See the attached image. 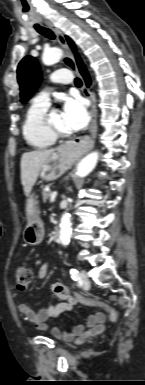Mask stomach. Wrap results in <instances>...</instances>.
Listing matches in <instances>:
<instances>
[{
  "label": "stomach",
  "mask_w": 145,
  "mask_h": 385,
  "mask_svg": "<svg viewBox=\"0 0 145 385\" xmlns=\"http://www.w3.org/2000/svg\"><path fill=\"white\" fill-rule=\"evenodd\" d=\"M75 153L62 145L42 165L39 176L44 181H52L62 176L75 162ZM28 222L24 230V241L29 245H38L44 237L43 222L39 217L37 201L34 195L28 196L26 203Z\"/></svg>",
  "instance_id": "1"
}]
</instances>
